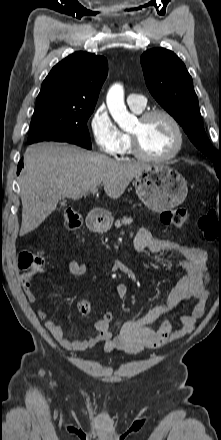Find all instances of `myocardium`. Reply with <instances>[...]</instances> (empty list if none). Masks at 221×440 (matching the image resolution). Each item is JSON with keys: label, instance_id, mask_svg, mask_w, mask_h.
<instances>
[{"label": "myocardium", "instance_id": "obj_1", "mask_svg": "<svg viewBox=\"0 0 221 440\" xmlns=\"http://www.w3.org/2000/svg\"><path fill=\"white\" fill-rule=\"evenodd\" d=\"M155 116H163L165 117L173 126L175 134H176V144L173 150L164 156L156 157L152 155H148L145 153L139 143L138 138L133 133H130V142H131V150L135 157L138 159L149 161V162H156V163H162L167 162L169 160H172L175 158L182 150L184 145V133L182 130V127L179 123V121L176 119V117L171 114L169 111L165 109H152L145 111L140 114L139 120L141 122L147 121Z\"/></svg>", "mask_w": 221, "mask_h": 440}]
</instances>
